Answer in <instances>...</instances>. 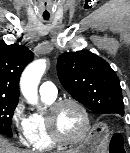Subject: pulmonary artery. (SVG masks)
Returning a JSON list of instances; mask_svg holds the SVG:
<instances>
[{"label": "pulmonary artery", "instance_id": "1", "mask_svg": "<svg viewBox=\"0 0 130 153\" xmlns=\"http://www.w3.org/2000/svg\"><path fill=\"white\" fill-rule=\"evenodd\" d=\"M39 93L41 96H45L48 98H56L57 97V88L53 82L44 81L40 85Z\"/></svg>", "mask_w": 130, "mask_h": 153}]
</instances>
